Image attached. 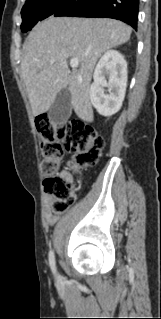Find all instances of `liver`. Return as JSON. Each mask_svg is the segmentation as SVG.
<instances>
[{
	"mask_svg": "<svg viewBox=\"0 0 161 319\" xmlns=\"http://www.w3.org/2000/svg\"><path fill=\"white\" fill-rule=\"evenodd\" d=\"M132 29L107 18L51 17L38 23L24 44L21 77L35 116L48 111L68 88L76 115L93 121L89 90L93 69L107 50L126 43ZM79 65L69 70L67 59Z\"/></svg>",
	"mask_w": 161,
	"mask_h": 319,
	"instance_id": "6515ba94",
	"label": "liver"
}]
</instances>
